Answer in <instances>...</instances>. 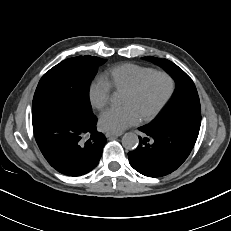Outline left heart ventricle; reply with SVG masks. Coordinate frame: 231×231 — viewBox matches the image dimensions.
Segmentation results:
<instances>
[{"label":"left heart ventricle","instance_id":"b2bd125f","mask_svg":"<svg viewBox=\"0 0 231 231\" xmlns=\"http://www.w3.org/2000/svg\"><path fill=\"white\" fill-rule=\"evenodd\" d=\"M169 88L170 83L165 76L155 75L149 78L136 93H124L122 104L132 106L141 118L163 101Z\"/></svg>","mask_w":231,"mask_h":231}]
</instances>
